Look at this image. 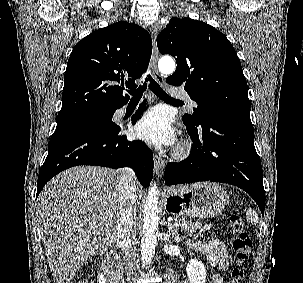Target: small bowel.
Wrapping results in <instances>:
<instances>
[{
    "label": "small bowel",
    "instance_id": "small-bowel-1",
    "mask_svg": "<svg viewBox=\"0 0 303 283\" xmlns=\"http://www.w3.org/2000/svg\"><path fill=\"white\" fill-rule=\"evenodd\" d=\"M190 248L194 252L203 254L211 265L218 266L222 270L228 269V253L222 240L214 239L207 244L191 243ZM210 283H223V278L220 275H214Z\"/></svg>",
    "mask_w": 303,
    "mask_h": 283
}]
</instances>
